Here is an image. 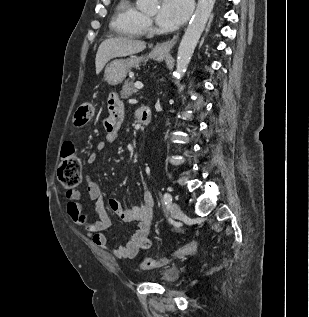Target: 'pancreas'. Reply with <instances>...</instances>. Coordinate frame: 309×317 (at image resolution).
<instances>
[{
	"instance_id": "pancreas-1",
	"label": "pancreas",
	"mask_w": 309,
	"mask_h": 317,
	"mask_svg": "<svg viewBox=\"0 0 309 317\" xmlns=\"http://www.w3.org/2000/svg\"><path fill=\"white\" fill-rule=\"evenodd\" d=\"M137 93L133 79L124 82L120 95L122 98H128L129 96Z\"/></svg>"
}]
</instances>
